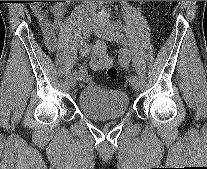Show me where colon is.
Returning a JSON list of instances; mask_svg holds the SVG:
<instances>
[{
    "mask_svg": "<svg viewBox=\"0 0 207 169\" xmlns=\"http://www.w3.org/2000/svg\"><path fill=\"white\" fill-rule=\"evenodd\" d=\"M90 65L95 71H105L110 78L117 76V69L103 44H96L91 56Z\"/></svg>",
    "mask_w": 207,
    "mask_h": 169,
    "instance_id": "obj_1",
    "label": "colon"
}]
</instances>
